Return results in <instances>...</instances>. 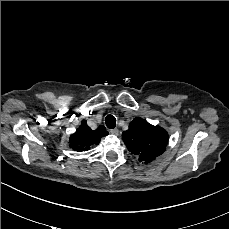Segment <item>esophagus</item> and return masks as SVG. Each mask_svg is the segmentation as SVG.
I'll return each instance as SVG.
<instances>
[{"mask_svg": "<svg viewBox=\"0 0 229 229\" xmlns=\"http://www.w3.org/2000/svg\"><path fill=\"white\" fill-rule=\"evenodd\" d=\"M110 133L117 136L119 134V130L118 129H111Z\"/></svg>", "mask_w": 229, "mask_h": 229, "instance_id": "34e87169", "label": "esophagus"}]
</instances>
